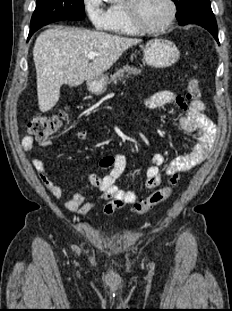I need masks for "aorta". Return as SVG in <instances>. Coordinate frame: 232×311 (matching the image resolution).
I'll return each mask as SVG.
<instances>
[{
    "label": "aorta",
    "instance_id": "obj_1",
    "mask_svg": "<svg viewBox=\"0 0 232 311\" xmlns=\"http://www.w3.org/2000/svg\"><path fill=\"white\" fill-rule=\"evenodd\" d=\"M106 2H110V3H116L118 2L119 0H105Z\"/></svg>",
    "mask_w": 232,
    "mask_h": 311
}]
</instances>
